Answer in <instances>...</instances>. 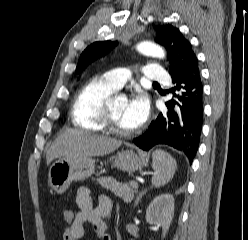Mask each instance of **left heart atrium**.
Instances as JSON below:
<instances>
[{
    "label": "left heart atrium",
    "instance_id": "1",
    "mask_svg": "<svg viewBox=\"0 0 248 240\" xmlns=\"http://www.w3.org/2000/svg\"><path fill=\"white\" fill-rule=\"evenodd\" d=\"M148 113V99L143 92L137 90L128 102L125 118L132 128H137L146 121Z\"/></svg>",
    "mask_w": 248,
    "mask_h": 240
}]
</instances>
